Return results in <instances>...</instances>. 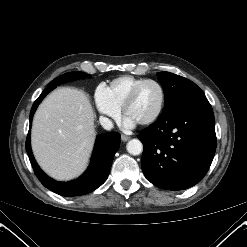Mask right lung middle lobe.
<instances>
[{
	"instance_id": "obj_1",
	"label": "right lung middle lobe",
	"mask_w": 247,
	"mask_h": 247,
	"mask_svg": "<svg viewBox=\"0 0 247 247\" xmlns=\"http://www.w3.org/2000/svg\"><path fill=\"white\" fill-rule=\"evenodd\" d=\"M85 77H89V75L84 72H77V71L69 72L55 78L52 82H50L48 86H57L64 82H69L76 80L78 78H85Z\"/></svg>"
}]
</instances>
